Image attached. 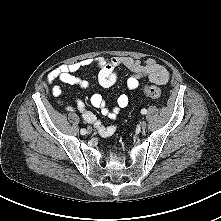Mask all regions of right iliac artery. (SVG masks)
I'll use <instances>...</instances> for the list:
<instances>
[{
	"instance_id": "82829eb1",
	"label": "right iliac artery",
	"mask_w": 221,
	"mask_h": 221,
	"mask_svg": "<svg viewBox=\"0 0 221 221\" xmlns=\"http://www.w3.org/2000/svg\"><path fill=\"white\" fill-rule=\"evenodd\" d=\"M80 133H81L82 135H85L87 132H86L85 129H81V130H80Z\"/></svg>"
}]
</instances>
